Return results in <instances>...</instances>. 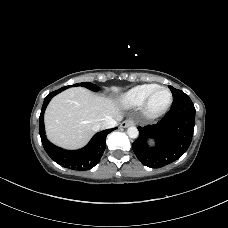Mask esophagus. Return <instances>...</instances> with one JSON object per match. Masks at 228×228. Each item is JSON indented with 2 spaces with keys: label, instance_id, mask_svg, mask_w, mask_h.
Listing matches in <instances>:
<instances>
[{
  "label": "esophagus",
  "instance_id": "esophagus-1",
  "mask_svg": "<svg viewBox=\"0 0 228 228\" xmlns=\"http://www.w3.org/2000/svg\"><path fill=\"white\" fill-rule=\"evenodd\" d=\"M134 124H135V122H134L133 120L128 119V120L123 121V122L120 124V126H121L122 128H127V127H129V126H133Z\"/></svg>",
  "mask_w": 228,
  "mask_h": 228
}]
</instances>
